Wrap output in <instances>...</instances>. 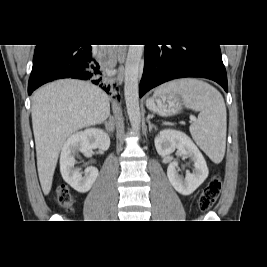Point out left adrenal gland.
Wrapping results in <instances>:
<instances>
[{"label":"left adrenal gland","instance_id":"left-adrenal-gland-1","mask_svg":"<svg viewBox=\"0 0 267 267\" xmlns=\"http://www.w3.org/2000/svg\"><path fill=\"white\" fill-rule=\"evenodd\" d=\"M151 117H152L151 115H148V117H147V123H148V125H149V132H151L153 128H154L155 130H157V127H156L154 124H152V123L150 122V118H151Z\"/></svg>","mask_w":267,"mask_h":267}]
</instances>
